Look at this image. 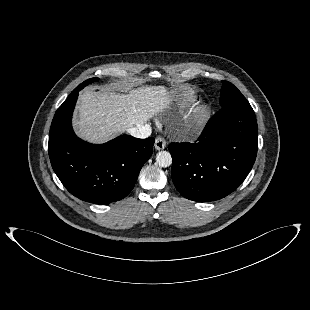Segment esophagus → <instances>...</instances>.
Masks as SVG:
<instances>
[{
    "mask_svg": "<svg viewBox=\"0 0 310 310\" xmlns=\"http://www.w3.org/2000/svg\"><path fill=\"white\" fill-rule=\"evenodd\" d=\"M166 147V141L163 137L158 136L155 139V149L156 150H162Z\"/></svg>",
    "mask_w": 310,
    "mask_h": 310,
    "instance_id": "1",
    "label": "esophagus"
}]
</instances>
